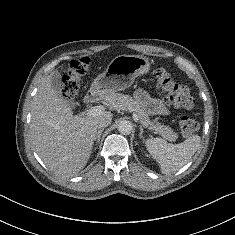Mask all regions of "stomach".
<instances>
[{
    "label": "stomach",
    "mask_w": 235,
    "mask_h": 235,
    "mask_svg": "<svg viewBox=\"0 0 235 235\" xmlns=\"http://www.w3.org/2000/svg\"><path fill=\"white\" fill-rule=\"evenodd\" d=\"M150 69L147 58L140 55H119L98 75L90 88V93L103 97L108 93L125 90L135 78L146 74Z\"/></svg>",
    "instance_id": "1"
}]
</instances>
